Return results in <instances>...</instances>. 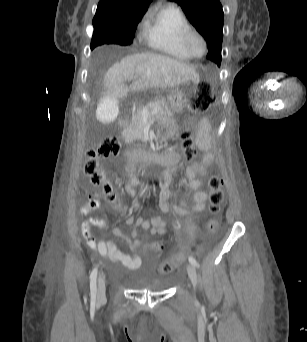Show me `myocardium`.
Wrapping results in <instances>:
<instances>
[{"label":"myocardium","instance_id":"f54148a6","mask_svg":"<svg viewBox=\"0 0 307 342\" xmlns=\"http://www.w3.org/2000/svg\"><path fill=\"white\" fill-rule=\"evenodd\" d=\"M194 34H198L200 36L202 43H203V46H204L203 52L200 56H195L189 49V39ZM181 42H182V47H183L184 51L193 60L202 59L208 51V41H207V38L205 36V33L203 32V30L200 27H198L194 24H191L189 26V28H187L184 31V33L182 35Z\"/></svg>","mask_w":307,"mask_h":342}]
</instances>
